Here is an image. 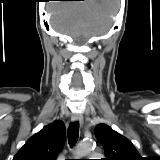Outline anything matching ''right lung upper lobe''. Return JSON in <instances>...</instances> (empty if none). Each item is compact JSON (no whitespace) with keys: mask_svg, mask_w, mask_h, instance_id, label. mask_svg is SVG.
Wrapping results in <instances>:
<instances>
[{"mask_svg":"<svg viewBox=\"0 0 160 160\" xmlns=\"http://www.w3.org/2000/svg\"><path fill=\"white\" fill-rule=\"evenodd\" d=\"M66 129L62 122H54L30 137L13 160H55L64 147Z\"/></svg>","mask_w":160,"mask_h":160,"instance_id":"cb5924a9","label":"right lung upper lobe"}]
</instances>
